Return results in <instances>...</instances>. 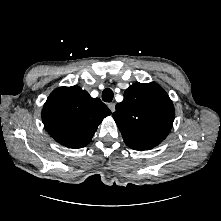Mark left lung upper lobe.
<instances>
[{
  "label": "left lung upper lobe",
  "mask_w": 221,
  "mask_h": 221,
  "mask_svg": "<svg viewBox=\"0 0 221 221\" xmlns=\"http://www.w3.org/2000/svg\"><path fill=\"white\" fill-rule=\"evenodd\" d=\"M127 146L147 150L160 144L169 134L174 106L168 94L156 83H134L112 114Z\"/></svg>",
  "instance_id": "obj_1"
}]
</instances>
